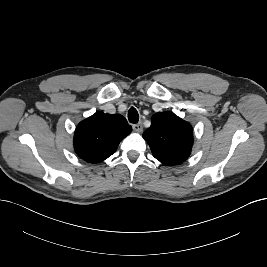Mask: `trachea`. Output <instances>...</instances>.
Wrapping results in <instances>:
<instances>
[{"label":"trachea","instance_id":"3493384b","mask_svg":"<svg viewBox=\"0 0 267 267\" xmlns=\"http://www.w3.org/2000/svg\"><path fill=\"white\" fill-rule=\"evenodd\" d=\"M128 120L130 123H137L139 121V114L134 107H131L128 111Z\"/></svg>","mask_w":267,"mask_h":267}]
</instances>
